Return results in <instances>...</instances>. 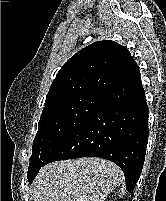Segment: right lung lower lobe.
I'll return each instance as SVG.
<instances>
[{
  "label": "right lung lower lobe",
  "mask_w": 166,
  "mask_h": 201,
  "mask_svg": "<svg viewBox=\"0 0 166 201\" xmlns=\"http://www.w3.org/2000/svg\"><path fill=\"white\" fill-rule=\"evenodd\" d=\"M148 113L136 66L104 95L96 109L57 146L44 165L88 156L104 158L122 169L126 189L133 194L145 160ZM37 173L29 178L30 183Z\"/></svg>",
  "instance_id": "1"
}]
</instances>
